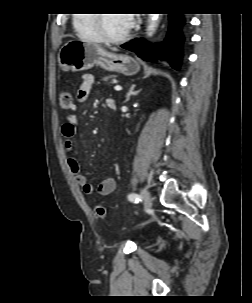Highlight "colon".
Returning a JSON list of instances; mask_svg holds the SVG:
<instances>
[{"instance_id": "colon-1", "label": "colon", "mask_w": 252, "mask_h": 303, "mask_svg": "<svg viewBox=\"0 0 252 303\" xmlns=\"http://www.w3.org/2000/svg\"><path fill=\"white\" fill-rule=\"evenodd\" d=\"M60 106L63 110L68 111L73 108V97L69 91H63L59 97ZM94 213L97 218L104 219L106 217V209L102 203L94 205Z\"/></svg>"}]
</instances>
